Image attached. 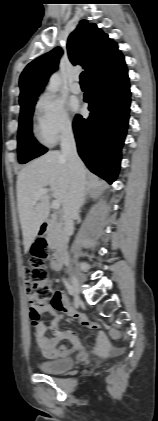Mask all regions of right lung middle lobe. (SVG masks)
Here are the masks:
<instances>
[{
  "label": "right lung middle lobe",
  "instance_id": "obj_1",
  "mask_svg": "<svg viewBox=\"0 0 158 421\" xmlns=\"http://www.w3.org/2000/svg\"><path fill=\"white\" fill-rule=\"evenodd\" d=\"M36 99L21 104L18 129V158L24 164L33 158L44 154L47 149L42 147L32 134V114Z\"/></svg>",
  "mask_w": 158,
  "mask_h": 421
}]
</instances>
